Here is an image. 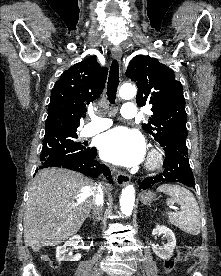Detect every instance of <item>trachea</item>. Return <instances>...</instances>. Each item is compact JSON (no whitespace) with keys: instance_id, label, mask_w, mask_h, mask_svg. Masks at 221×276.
Returning a JSON list of instances; mask_svg holds the SVG:
<instances>
[{"instance_id":"trachea-1","label":"trachea","mask_w":221,"mask_h":276,"mask_svg":"<svg viewBox=\"0 0 221 276\" xmlns=\"http://www.w3.org/2000/svg\"><path fill=\"white\" fill-rule=\"evenodd\" d=\"M118 85H119V65L117 60H113L109 71L108 86H107V96L111 104L115 103Z\"/></svg>"}]
</instances>
